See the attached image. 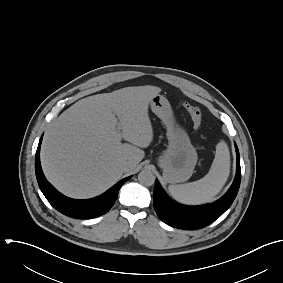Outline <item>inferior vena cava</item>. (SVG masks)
<instances>
[{
    "label": "inferior vena cava",
    "mask_w": 283,
    "mask_h": 283,
    "mask_svg": "<svg viewBox=\"0 0 283 283\" xmlns=\"http://www.w3.org/2000/svg\"><path fill=\"white\" fill-rule=\"evenodd\" d=\"M129 167H130V164H129L128 162L122 163V164L120 165V168H121L123 171H127Z\"/></svg>",
    "instance_id": "inferior-vena-cava-1"
}]
</instances>
